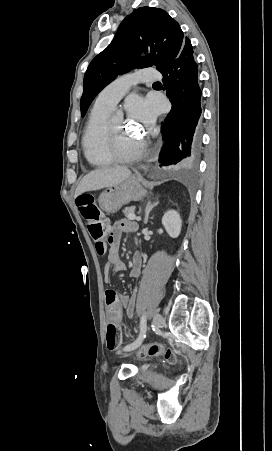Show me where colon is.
I'll use <instances>...</instances> for the list:
<instances>
[{"label":"colon","mask_w":272,"mask_h":451,"mask_svg":"<svg viewBox=\"0 0 272 451\" xmlns=\"http://www.w3.org/2000/svg\"><path fill=\"white\" fill-rule=\"evenodd\" d=\"M76 203L83 219L87 221V227L95 243L97 254H104L107 251L105 239L108 237V232L107 230H103L102 212L99 209L97 200L89 195H82L77 198ZM105 344L107 350L111 354L117 353L118 347L122 344L118 326L115 322L110 320L106 322ZM130 348L135 351L136 354H149L150 356L164 351L162 346L151 345L150 343H147L146 345H138L136 342H133L130 345ZM163 356L172 363H175L176 361V357L172 350H165Z\"/></svg>","instance_id":"1"}]
</instances>
